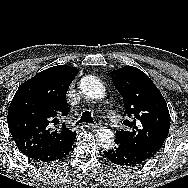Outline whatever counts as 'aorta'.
Wrapping results in <instances>:
<instances>
[{
	"label": "aorta",
	"instance_id": "762f6f07",
	"mask_svg": "<svg viewBox=\"0 0 188 188\" xmlns=\"http://www.w3.org/2000/svg\"><path fill=\"white\" fill-rule=\"evenodd\" d=\"M80 89L87 98L99 99L104 96V86L102 82L94 76H85L81 79ZM114 133L106 127H101L96 131V139L102 148L108 149L114 143Z\"/></svg>",
	"mask_w": 188,
	"mask_h": 188
}]
</instances>
